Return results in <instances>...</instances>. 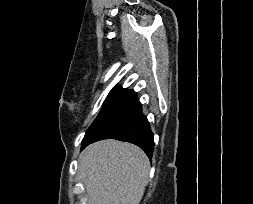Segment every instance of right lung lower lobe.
<instances>
[{
    "label": "right lung lower lobe",
    "instance_id": "right-lung-lower-lobe-1",
    "mask_svg": "<svg viewBox=\"0 0 253 204\" xmlns=\"http://www.w3.org/2000/svg\"><path fill=\"white\" fill-rule=\"evenodd\" d=\"M103 139L133 143L142 148L150 160L152 159L153 133L147 118L142 113V106L136 93L127 98L94 130L90 138L82 144L81 150Z\"/></svg>",
    "mask_w": 253,
    "mask_h": 204
}]
</instances>
